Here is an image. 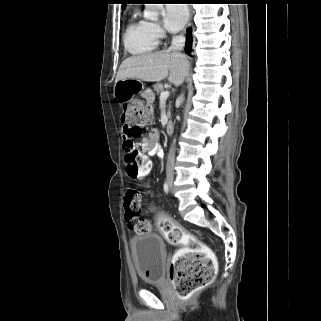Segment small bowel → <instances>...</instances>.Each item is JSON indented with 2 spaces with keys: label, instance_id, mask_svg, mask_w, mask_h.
I'll return each instance as SVG.
<instances>
[{
  "label": "small bowel",
  "instance_id": "c3829d8e",
  "mask_svg": "<svg viewBox=\"0 0 321 321\" xmlns=\"http://www.w3.org/2000/svg\"><path fill=\"white\" fill-rule=\"evenodd\" d=\"M147 101L152 98L150 96H145ZM132 135L127 128L122 130V148L126 155L133 151H138L142 154H147L149 156H161L162 149L159 144L160 134L158 129H152L147 136L143 137L140 141L135 142L132 140Z\"/></svg>",
  "mask_w": 321,
  "mask_h": 321
}]
</instances>
